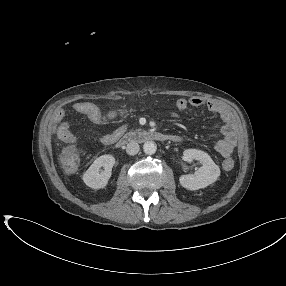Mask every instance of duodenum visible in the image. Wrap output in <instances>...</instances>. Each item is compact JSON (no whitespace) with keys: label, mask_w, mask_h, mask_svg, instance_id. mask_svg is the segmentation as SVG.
<instances>
[{"label":"duodenum","mask_w":286,"mask_h":286,"mask_svg":"<svg viewBox=\"0 0 286 286\" xmlns=\"http://www.w3.org/2000/svg\"><path fill=\"white\" fill-rule=\"evenodd\" d=\"M153 140L180 142L181 137L178 135L166 134L158 131L142 130L130 132L124 135L118 140L117 145L122 147L132 142H148Z\"/></svg>","instance_id":"1"}]
</instances>
